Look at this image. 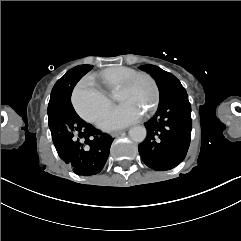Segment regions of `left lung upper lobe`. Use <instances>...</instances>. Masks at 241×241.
Returning <instances> with one entry per match:
<instances>
[{
  "label": "left lung upper lobe",
  "instance_id": "5c2ea615",
  "mask_svg": "<svg viewBox=\"0 0 241 241\" xmlns=\"http://www.w3.org/2000/svg\"><path fill=\"white\" fill-rule=\"evenodd\" d=\"M140 69L148 72L156 81L160 93V101L169 97L172 93L184 91L180 81L171 73L154 65H144Z\"/></svg>",
  "mask_w": 241,
  "mask_h": 241
}]
</instances>
